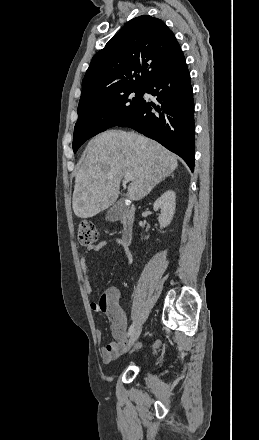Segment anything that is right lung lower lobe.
Here are the masks:
<instances>
[{
  "mask_svg": "<svg viewBox=\"0 0 259 440\" xmlns=\"http://www.w3.org/2000/svg\"><path fill=\"white\" fill-rule=\"evenodd\" d=\"M159 105L143 100L128 119L117 126L130 127L176 153L194 169V102L190 73L182 54L159 72L146 88ZM155 109L158 113H153Z\"/></svg>",
  "mask_w": 259,
  "mask_h": 440,
  "instance_id": "obj_1",
  "label": "right lung lower lobe"
}]
</instances>
